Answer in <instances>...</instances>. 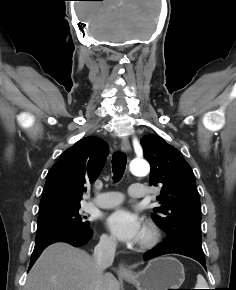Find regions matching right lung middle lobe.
<instances>
[{
    "mask_svg": "<svg viewBox=\"0 0 236 290\" xmlns=\"http://www.w3.org/2000/svg\"><path fill=\"white\" fill-rule=\"evenodd\" d=\"M80 204L40 209L36 238L62 231L90 228L86 217L79 214Z\"/></svg>",
    "mask_w": 236,
    "mask_h": 290,
    "instance_id": "right-lung-middle-lobe-1",
    "label": "right lung middle lobe"
}]
</instances>
